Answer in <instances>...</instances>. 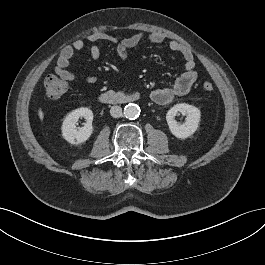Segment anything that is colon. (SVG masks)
I'll list each match as a JSON object with an SVG mask.
<instances>
[{"label":"colon","instance_id":"5ec220e1","mask_svg":"<svg viewBox=\"0 0 265 265\" xmlns=\"http://www.w3.org/2000/svg\"><path fill=\"white\" fill-rule=\"evenodd\" d=\"M201 89L206 93H210L214 90V85L210 81H204L201 84ZM44 90L49 100H57L67 91V85L58 77L49 75L44 80Z\"/></svg>","mask_w":265,"mask_h":265}]
</instances>
